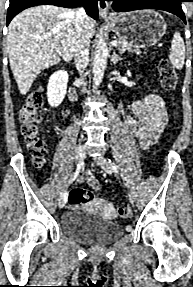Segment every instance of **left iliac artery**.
<instances>
[{
  "label": "left iliac artery",
  "mask_w": 193,
  "mask_h": 287,
  "mask_svg": "<svg viewBox=\"0 0 193 287\" xmlns=\"http://www.w3.org/2000/svg\"><path fill=\"white\" fill-rule=\"evenodd\" d=\"M108 161L112 164V168L118 172L119 171V167L115 164V163H112L110 159H108Z\"/></svg>",
  "instance_id": "left-iliac-artery-1"
}]
</instances>
